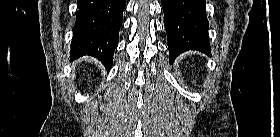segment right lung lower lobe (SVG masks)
<instances>
[{
    "label": "right lung lower lobe",
    "mask_w": 280,
    "mask_h": 137,
    "mask_svg": "<svg viewBox=\"0 0 280 137\" xmlns=\"http://www.w3.org/2000/svg\"><path fill=\"white\" fill-rule=\"evenodd\" d=\"M125 4V0H77L72 59L90 55L111 68Z\"/></svg>",
    "instance_id": "obj_1"
}]
</instances>
